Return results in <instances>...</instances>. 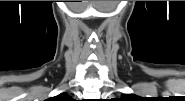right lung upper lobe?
Here are the masks:
<instances>
[{
  "mask_svg": "<svg viewBox=\"0 0 185 101\" xmlns=\"http://www.w3.org/2000/svg\"><path fill=\"white\" fill-rule=\"evenodd\" d=\"M72 98L65 93H61L52 98L53 101H70Z\"/></svg>",
  "mask_w": 185,
  "mask_h": 101,
  "instance_id": "cb5924a9",
  "label": "right lung upper lobe"
}]
</instances>
